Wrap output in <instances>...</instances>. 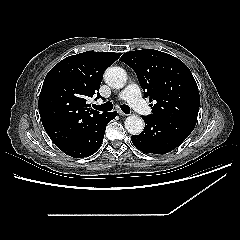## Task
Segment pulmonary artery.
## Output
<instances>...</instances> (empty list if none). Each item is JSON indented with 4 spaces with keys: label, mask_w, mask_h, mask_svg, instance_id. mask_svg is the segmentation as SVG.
<instances>
[{
    "label": "pulmonary artery",
    "mask_w": 240,
    "mask_h": 240,
    "mask_svg": "<svg viewBox=\"0 0 240 240\" xmlns=\"http://www.w3.org/2000/svg\"><path fill=\"white\" fill-rule=\"evenodd\" d=\"M119 98L127 101L133 109L143 115L151 113L150 108L146 105L140 96V89L136 84H129L120 94Z\"/></svg>",
    "instance_id": "e3ab8cb5"
}]
</instances>
